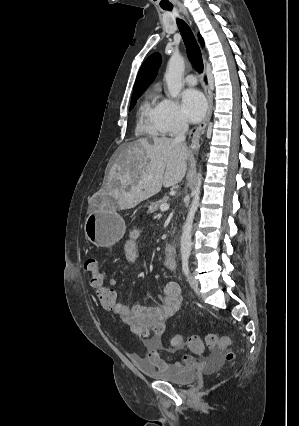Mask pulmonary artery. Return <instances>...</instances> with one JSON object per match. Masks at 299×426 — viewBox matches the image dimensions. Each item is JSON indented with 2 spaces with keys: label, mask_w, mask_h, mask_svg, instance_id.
Returning a JSON list of instances; mask_svg holds the SVG:
<instances>
[{
  "label": "pulmonary artery",
  "mask_w": 299,
  "mask_h": 426,
  "mask_svg": "<svg viewBox=\"0 0 299 426\" xmlns=\"http://www.w3.org/2000/svg\"><path fill=\"white\" fill-rule=\"evenodd\" d=\"M185 82H186L188 85H191V86L196 85V83H197L196 76H195L194 74H188V75L185 77Z\"/></svg>",
  "instance_id": "obj_1"
}]
</instances>
